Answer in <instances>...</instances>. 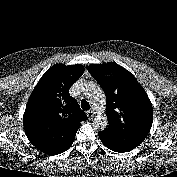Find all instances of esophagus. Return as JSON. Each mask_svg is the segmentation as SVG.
<instances>
[{"label": "esophagus", "instance_id": "1", "mask_svg": "<svg viewBox=\"0 0 177 177\" xmlns=\"http://www.w3.org/2000/svg\"><path fill=\"white\" fill-rule=\"evenodd\" d=\"M86 114H87L88 119L91 120L93 119L95 113L92 110H88Z\"/></svg>", "mask_w": 177, "mask_h": 177}]
</instances>
